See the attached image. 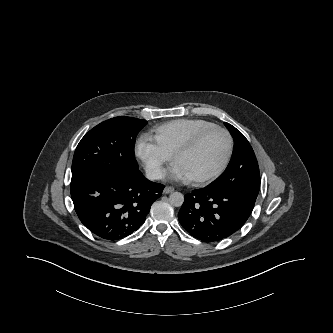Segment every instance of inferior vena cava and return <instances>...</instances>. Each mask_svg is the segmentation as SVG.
I'll return each instance as SVG.
<instances>
[{"mask_svg":"<svg viewBox=\"0 0 333 333\" xmlns=\"http://www.w3.org/2000/svg\"><path fill=\"white\" fill-rule=\"evenodd\" d=\"M145 176L149 180L163 179L165 174L162 168L158 166H148L145 169Z\"/></svg>","mask_w":333,"mask_h":333,"instance_id":"1","label":"inferior vena cava"}]
</instances>
